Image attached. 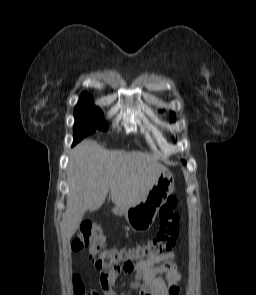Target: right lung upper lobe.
<instances>
[{
  "label": "right lung upper lobe",
  "mask_w": 256,
  "mask_h": 295,
  "mask_svg": "<svg viewBox=\"0 0 256 295\" xmlns=\"http://www.w3.org/2000/svg\"><path fill=\"white\" fill-rule=\"evenodd\" d=\"M87 100H90V97L88 96V94L86 92H84L81 97H80V101H87ZM91 101V100H90Z\"/></svg>",
  "instance_id": "right-lung-upper-lobe-1"
}]
</instances>
